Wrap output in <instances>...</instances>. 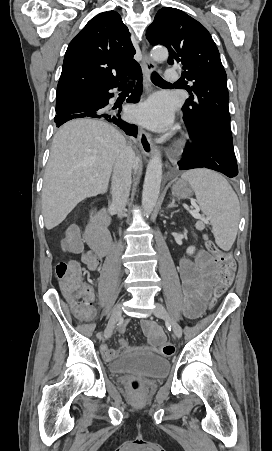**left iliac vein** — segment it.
I'll return each instance as SVG.
<instances>
[{
	"instance_id": "4c4485c4",
	"label": "left iliac vein",
	"mask_w": 272,
	"mask_h": 451,
	"mask_svg": "<svg viewBox=\"0 0 272 451\" xmlns=\"http://www.w3.org/2000/svg\"><path fill=\"white\" fill-rule=\"evenodd\" d=\"M155 308L153 310V313L155 314V316H157L158 318L164 319L166 322H169V324L172 327L173 333L175 335L176 338H180L182 335V328L181 326L171 318V316L168 314L167 310L165 309V307L159 303H155Z\"/></svg>"
}]
</instances>
